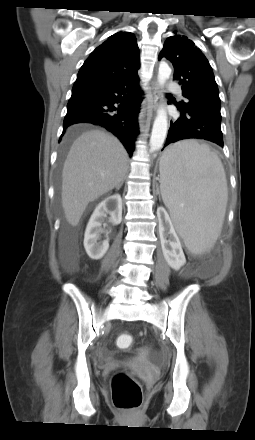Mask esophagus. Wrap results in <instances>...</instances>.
<instances>
[{"instance_id":"esophagus-1","label":"esophagus","mask_w":255,"mask_h":440,"mask_svg":"<svg viewBox=\"0 0 255 440\" xmlns=\"http://www.w3.org/2000/svg\"><path fill=\"white\" fill-rule=\"evenodd\" d=\"M152 98H153V100H152L151 108H152V110L155 111L157 108V105L161 101L160 89H159V85L157 82H155L152 86ZM139 119H140V122H143V118L141 115H140Z\"/></svg>"}]
</instances>
